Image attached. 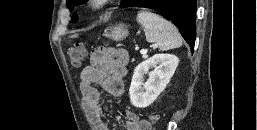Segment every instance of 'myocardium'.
<instances>
[{
	"mask_svg": "<svg viewBox=\"0 0 257 130\" xmlns=\"http://www.w3.org/2000/svg\"><path fill=\"white\" fill-rule=\"evenodd\" d=\"M113 0H87V6L93 10L98 11L109 5Z\"/></svg>",
	"mask_w": 257,
	"mask_h": 130,
	"instance_id": "f54148a6",
	"label": "myocardium"
}]
</instances>
